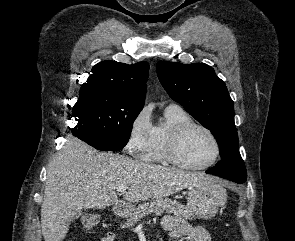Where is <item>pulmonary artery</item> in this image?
<instances>
[{
	"label": "pulmonary artery",
	"mask_w": 295,
	"mask_h": 241,
	"mask_svg": "<svg viewBox=\"0 0 295 241\" xmlns=\"http://www.w3.org/2000/svg\"><path fill=\"white\" fill-rule=\"evenodd\" d=\"M169 107H178V108H181L178 104H175V103H170L169 104Z\"/></svg>",
	"instance_id": "obj_1"
}]
</instances>
